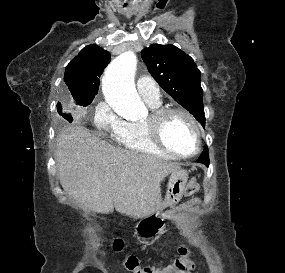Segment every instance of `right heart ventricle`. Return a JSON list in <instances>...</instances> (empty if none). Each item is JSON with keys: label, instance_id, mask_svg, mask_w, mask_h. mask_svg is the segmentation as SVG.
<instances>
[{"label": "right heart ventricle", "instance_id": "1", "mask_svg": "<svg viewBox=\"0 0 285 273\" xmlns=\"http://www.w3.org/2000/svg\"><path fill=\"white\" fill-rule=\"evenodd\" d=\"M152 109L161 107V103H148ZM117 143L127 150L134 152L148 154L153 156H160L166 158H173L169 154L162 151L150 138L147 129L143 123H126L122 132L116 137Z\"/></svg>", "mask_w": 285, "mask_h": 273}]
</instances>
